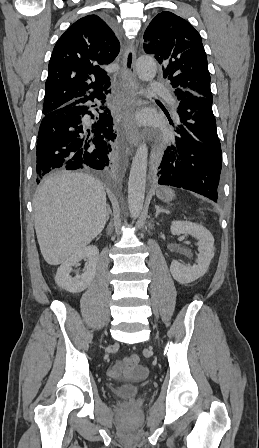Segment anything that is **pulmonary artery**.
I'll list each match as a JSON object with an SVG mask.
<instances>
[{"instance_id": "e3ab8cb5", "label": "pulmonary artery", "mask_w": 259, "mask_h": 448, "mask_svg": "<svg viewBox=\"0 0 259 448\" xmlns=\"http://www.w3.org/2000/svg\"><path fill=\"white\" fill-rule=\"evenodd\" d=\"M164 98H165V100H166L169 104H172V105H174V106H177V102H176V100L174 99L173 96L168 95V96H165Z\"/></svg>"}]
</instances>
